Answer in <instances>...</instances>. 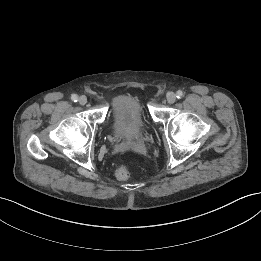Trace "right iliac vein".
I'll return each mask as SVG.
<instances>
[{
	"label": "right iliac vein",
	"instance_id": "right-iliac-vein-1",
	"mask_svg": "<svg viewBox=\"0 0 261 261\" xmlns=\"http://www.w3.org/2000/svg\"><path fill=\"white\" fill-rule=\"evenodd\" d=\"M79 104L80 105H86L87 104V97L86 96H81L79 98Z\"/></svg>",
	"mask_w": 261,
	"mask_h": 261
}]
</instances>
